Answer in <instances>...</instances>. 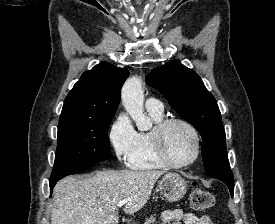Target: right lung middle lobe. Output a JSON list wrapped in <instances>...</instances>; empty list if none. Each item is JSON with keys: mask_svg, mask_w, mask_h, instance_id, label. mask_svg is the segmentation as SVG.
Instances as JSON below:
<instances>
[{"mask_svg": "<svg viewBox=\"0 0 275 224\" xmlns=\"http://www.w3.org/2000/svg\"><path fill=\"white\" fill-rule=\"evenodd\" d=\"M112 118L59 122L50 181L76 174L111 157L108 128Z\"/></svg>", "mask_w": 275, "mask_h": 224, "instance_id": "dd1d6c3e", "label": "right lung middle lobe"}]
</instances>
